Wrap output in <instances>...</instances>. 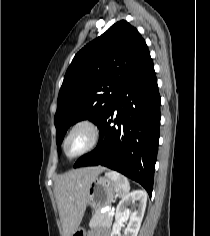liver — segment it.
I'll return each instance as SVG.
<instances>
[{"label": "liver", "mask_w": 210, "mask_h": 236, "mask_svg": "<svg viewBox=\"0 0 210 236\" xmlns=\"http://www.w3.org/2000/svg\"><path fill=\"white\" fill-rule=\"evenodd\" d=\"M104 167H87L69 171L55 181V197L64 236H72L78 229L85 209L90 183Z\"/></svg>", "instance_id": "obj_1"}]
</instances>
